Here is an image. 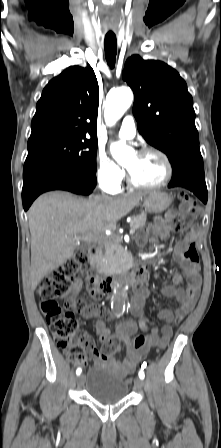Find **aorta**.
<instances>
[{
  "label": "aorta",
  "instance_id": "obj_1",
  "mask_svg": "<svg viewBox=\"0 0 221 448\" xmlns=\"http://www.w3.org/2000/svg\"><path fill=\"white\" fill-rule=\"evenodd\" d=\"M133 93L129 87H121L113 91L105 105V120L108 125H113L122 117L125 111L131 106ZM110 151L117 163L124 165L131 149L125 143L115 142L110 145Z\"/></svg>",
  "mask_w": 221,
  "mask_h": 448
}]
</instances>
